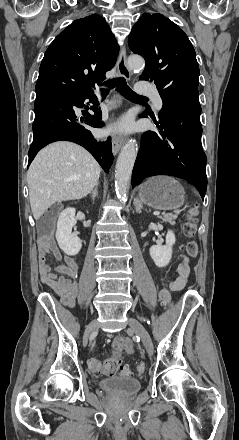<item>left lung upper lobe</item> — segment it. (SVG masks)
Segmentation results:
<instances>
[{
    "label": "left lung upper lobe",
    "instance_id": "1",
    "mask_svg": "<svg viewBox=\"0 0 239 440\" xmlns=\"http://www.w3.org/2000/svg\"><path fill=\"white\" fill-rule=\"evenodd\" d=\"M129 48L144 57L141 80L155 82L161 98L198 96L199 66L187 35L162 14L144 13L128 36Z\"/></svg>",
    "mask_w": 239,
    "mask_h": 440
}]
</instances>
